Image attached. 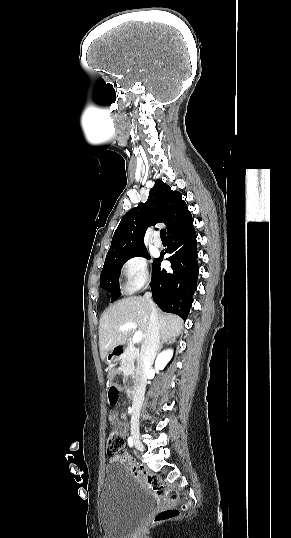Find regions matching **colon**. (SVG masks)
<instances>
[{"instance_id":"obj_1","label":"colon","mask_w":291,"mask_h":538,"mask_svg":"<svg viewBox=\"0 0 291 538\" xmlns=\"http://www.w3.org/2000/svg\"><path fill=\"white\" fill-rule=\"evenodd\" d=\"M109 400L110 404L114 405L118 400V390L115 387H110L109 389ZM124 446L123 437L114 429L110 432L107 438L106 452L109 456L117 455ZM134 474L138 476H143L146 479V482L149 488L160 497H167L170 500L177 502L179 500V495L176 491L168 489L161 478L148 474L144 469L139 467H134ZM180 511L177 508H170L161 510L155 514L152 523L160 524L165 521L176 518L179 515Z\"/></svg>"}]
</instances>
